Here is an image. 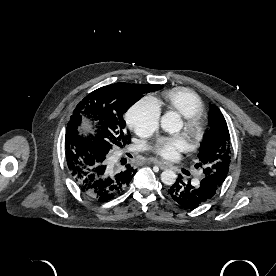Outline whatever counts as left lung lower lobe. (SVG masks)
Segmentation results:
<instances>
[{
    "label": "left lung lower lobe",
    "instance_id": "left-lung-lower-lobe-1",
    "mask_svg": "<svg viewBox=\"0 0 276 276\" xmlns=\"http://www.w3.org/2000/svg\"><path fill=\"white\" fill-rule=\"evenodd\" d=\"M218 189L211 177L205 176L199 184L192 186L190 181H183L179 175L175 184L168 189V193L179 205L194 209L209 201Z\"/></svg>",
    "mask_w": 276,
    "mask_h": 276
}]
</instances>
